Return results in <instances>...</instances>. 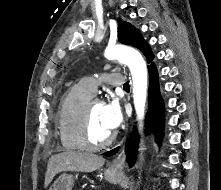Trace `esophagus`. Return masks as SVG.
I'll list each match as a JSON object with an SVG mask.
<instances>
[{
    "label": "esophagus",
    "mask_w": 221,
    "mask_h": 190,
    "mask_svg": "<svg viewBox=\"0 0 221 190\" xmlns=\"http://www.w3.org/2000/svg\"><path fill=\"white\" fill-rule=\"evenodd\" d=\"M125 154L124 151H122L112 162L111 169L115 171H122L125 166Z\"/></svg>",
    "instance_id": "obj_1"
}]
</instances>
